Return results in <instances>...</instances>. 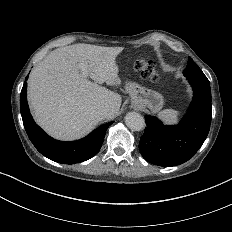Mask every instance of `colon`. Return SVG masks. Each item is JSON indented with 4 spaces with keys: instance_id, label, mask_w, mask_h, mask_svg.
Listing matches in <instances>:
<instances>
[{
    "instance_id": "5ec220e1",
    "label": "colon",
    "mask_w": 232,
    "mask_h": 232,
    "mask_svg": "<svg viewBox=\"0 0 232 232\" xmlns=\"http://www.w3.org/2000/svg\"><path fill=\"white\" fill-rule=\"evenodd\" d=\"M135 70L139 73H158V68H153V65H144V61H139V65H135ZM145 79H156V74H145Z\"/></svg>"
}]
</instances>
